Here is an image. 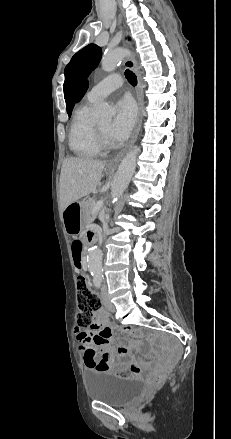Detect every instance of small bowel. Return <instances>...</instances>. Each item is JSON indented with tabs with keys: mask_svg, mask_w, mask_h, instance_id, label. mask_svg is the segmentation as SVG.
<instances>
[{
	"mask_svg": "<svg viewBox=\"0 0 231 439\" xmlns=\"http://www.w3.org/2000/svg\"><path fill=\"white\" fill-rule=\"evenodd\" d=\"M69 206L66 210L70 209ZM81 250V245L78 243L74 247V256L76 257ZM89 331L78 329L77 336L81 341L80 352L84 358L85 365H87V357H90L95 364L104 362L109 368L134 367L136 364L134 358L130 354L129 347L118 346L116 350L112 348L113 334L106 319V313L103 309L96 312L94 322ZM99 370L98 368H91Z\"/></svg>",
	"mask_w": 231,
	"mask_h": 439,
	"instance_id": "obj_1",
	"label": "small bowel"
}]
</instances>
